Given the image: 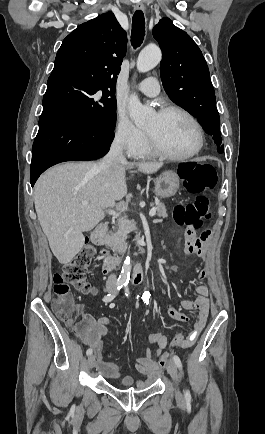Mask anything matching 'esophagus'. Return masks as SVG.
Wrapping results in <instances>:
<instances>
[{
    "label": "esophagus",
    "mask_w": 265,
    "mask_h": 434,
    "mask_svg": "<svg viewBox=\"0 0 265 434\" xmlns=\"http://www.w3.org/2000/svg\"><path fill=\"white\" fill-rule=\"evenodd\" d=\"M144 6L142 3H138L137 5H135V10H143Z\"/></svg>",
    "instance_id": "1"
}]
</instances>
